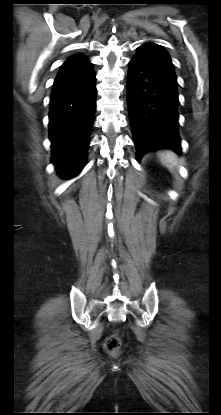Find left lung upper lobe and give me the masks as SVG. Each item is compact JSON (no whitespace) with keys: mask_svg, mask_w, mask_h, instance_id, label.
<instances>
[{"mask_svg":"<svg viewBox=\"0 0 221 415\" xmlns=\"http://www.w3.org/2000/svg\"><path fill=\"white\" fill-rule=\"evenodd\" d=\"M135 56L150 58L151 60L162 65L169 72L175 75L174 66L171 62V59L168 53L166 52V50L162 46H159L154 43L143 44L142 46L138 48V51Z\"/></svg>","mask_w":221,"mask_h":415,"instance_id":"obj_1","label":"left lung upper lobe"}]
</instances>
